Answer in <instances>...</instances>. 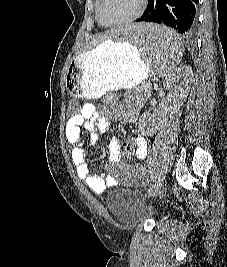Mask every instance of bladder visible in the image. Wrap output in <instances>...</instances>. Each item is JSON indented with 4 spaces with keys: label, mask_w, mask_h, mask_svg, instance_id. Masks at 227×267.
<instances>
[{
    "label": "bladder",
    "mask_w": 227,
    "mask_h": 267,
    "mask_svg": "<svg viewBox=\"0 0 227 267\" xmlns=\"http://www.w3.org/2000/svg\"><path fill=\"white\" fill-rule=\"evenodd\" d=\"M107 205L114 219L120 222L137 220L150 214L135 192L123 188L109 195Z\"/></svg>",
    "instance_id": "bladder-1"
}]
</instances>
